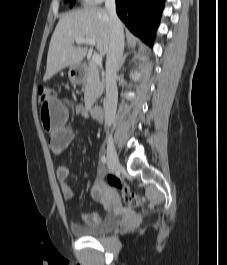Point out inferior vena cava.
Instances as JSON below:
<instances>
[{
    "label": "inferior vena cava",
    "instance_id": "obj_1",
    "mask_svg": "<svg viewBox=\"0 0 227 265\" xmlns=\"http://www.w3.org/2000/svg\"><path fill=\"white\" fill-rule=\"evenodd\" d=\"M105 8L110 16L112 24V36L110 49L106 59V98H105V121L111 126L117 108L118 91L116 85L117 71L119 69L124 50L123 25L116 13L115 0H106Z\"/></svg>",
    "mask_w": 227,
    "mask_h": 265
}]
</instances>
